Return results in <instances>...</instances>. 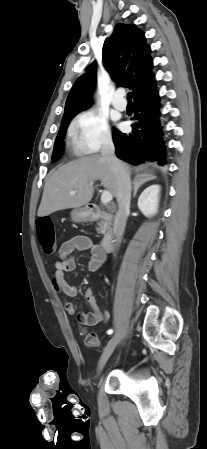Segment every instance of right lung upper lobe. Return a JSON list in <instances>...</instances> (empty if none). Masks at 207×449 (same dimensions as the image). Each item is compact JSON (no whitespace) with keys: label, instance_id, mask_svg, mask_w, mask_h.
<instances>
[{"label":"right lung upper lobe","instance_id":"cb5924a9","mask_svg":"<svg viewBox=\"0 0 207 449\" xmlns=\"http://www.w3.org/2000/svg\"><path fill=\"white\" fill-rule=\"evenodd\" d=\"M145 39L144 33L134 25L119 23L103 45L105 69L119 86L132 89L134 98L156 87L151 71V49ZM95 65L87 67L88 73L80 76L74 83L66 100L63 120L90 106V94L96 77Z\"/></svg>","mask_w":207,"mask_h":449}]
</instances>
